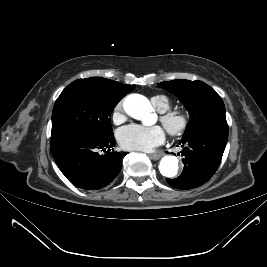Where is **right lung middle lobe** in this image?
I'll use <instances>...</instances> for the list:
<instances>
[{
    "label": "right lung middle lobe",
    "mask_w": 267,
    "mask_h": 267,
    "mask_svg": "<svg viewBox=\"0 0 267 267\" xmlns=\"http://www.w3.org/2000/svg\"><path fill=\"white\" fill-rule=\"evenodd\" d=\"M130 91L129 88L109 85L95 77L72 82L54 104L51 139L67 134L100 138L112 136V110Z\"/></svg>",
    "instance_id": "obj_1"
}]
</instances>
